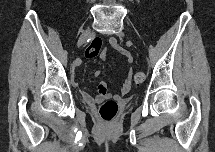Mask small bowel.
I'll use <instances>...</instances> for the list:
<instances>
[{"instance_id":"small-bowel-1","label":"small bowel","mask_w":215,"mask_h":152,"mask_svg":"<svg viewBox=\"0 0 215 152\" xmlns=\"http://www.w3.org/2000/svg\"><path fill=\"white\" fill-rule=\"evenodd\" d=\"M109 44L115 51H117L118 53H120L121 55H123L125 57L128 64H131L133 62L132 54L127 49L120 46L115 38H110ZM102 57L103 58L106 57L105 50L102 53ZM79 64H80V62L77 61L76 65L78 66ZM99 75H100V72L98 70L94 72L95 77H98ZM72 78L74 79V74L72 75ZM130 88H131V74L129 72L122 84L121 92H120L119 96H125L126 94H128L130 91ZM80 93L86 102H88L89 104H95L98 101H100L101 99L107 97V95H108L107 94V85L103 81L99 82L97 84V95L96 96L89 94L88 92H86L83 89H80Z\"/></svg>"}]
</instances>
